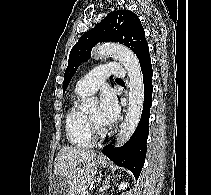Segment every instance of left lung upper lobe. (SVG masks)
Here are the masks:
<instances>
[{
  "label": "left lung upper lobe",
  "mask_w": 211,
  "mask_h": 195,
  "mask_svg": "<svg viewBox=\"0 0 211 195\" xmlns=\"http://www.w3.org/2000/svg\"><path fill=\"white\" fill-rule=\"evenodd\" d=\"M103 41L119 42L129 47L136 54L140 64L150 58L145 32L138 16L129 10H115L92 30L84 33L73 46L64 75L63 92L79 65L90 58L93 46Z\"/></svg>",
  "instance_id": "1"
}]
</instances>
